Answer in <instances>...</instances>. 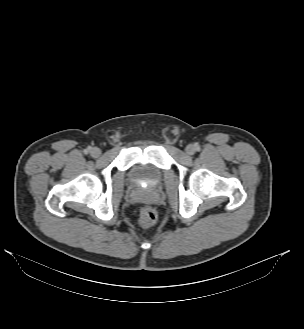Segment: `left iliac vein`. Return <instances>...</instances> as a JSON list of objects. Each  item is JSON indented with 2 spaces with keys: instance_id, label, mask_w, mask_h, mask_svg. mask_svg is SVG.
Segmentation results:
<instances>
[{
  "instance_id": "obj_1",
  "label": "left iliac vein",
  "mask_w": 304,
  "mask_h": 329,
  "mask_svg": "<svg viewBox=\"0 0 304 329\" xmlns=\"http://www.w3.org/2000/svg\"><path fill=\"white\" fill-rule=\"evenodd\" d=\"M185 150L188 155H193L195 153V147L191 144L188 145Z\"/></svg>"
}]
</instances>
